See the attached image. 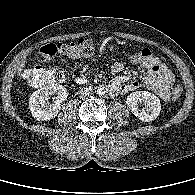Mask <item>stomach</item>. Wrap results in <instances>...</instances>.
Returning <instances> with one entry per match:
<instances>
[{
    "label": "stomach",
    "mask_w": 195,
    "mask_h": 195,
    "mask_svg": "<svg viewBox=\"0 0 195 195\" xmlns=\"http://www.w3.org/2000/svg\"><path fill=\"white\" fill-rule=\"evenodd\" d=\"M113 48H114V47H113V46H111V47H110V50H113Z\"/></svg>",
    "instance_id": "0dacf381"
}]
</instances>
